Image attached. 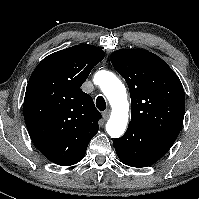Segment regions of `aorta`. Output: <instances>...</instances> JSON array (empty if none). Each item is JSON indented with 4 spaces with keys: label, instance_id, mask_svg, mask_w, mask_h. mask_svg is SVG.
<instances>
[{
    "label": "aorta",
    "instance_id": "aorta-1",
    "mask_svg": "<svg viewBox=\"0 0 199 199\" xmlns=\"http://www.w3.org/2000/svg\"><path fill=\"white\" fill-rule=\"evenodd\" d=\"M97 76L100 89L112 107L106 131L112 138H119L124 134L129 119V103L125 86L112 72L102 70L97 73Z\"/></svg>",
    "mask_w": 199,
    "mask_h": 199
}]
</instances>
